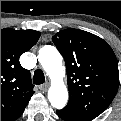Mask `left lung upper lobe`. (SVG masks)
I'll list each match as a JSON object with an SVG mask.
<instances>
[{"label": "left lung upper lobe", "mask_w": 121, "mask_h": 121, "mask_svg": "<svg viewBox=\"0 0 121 121\" xmlns=\"http://www.w3.org/2000/svg\"><path fill=\"white\" fill-rule=\"evenodd\" d=\"M66 64L69 102L62 111L90 121L114 99L119 86L118 63L111 47L100 37L65 29L52 38Z\"/></svg>", "instance_id": "1"}]
</instances>
